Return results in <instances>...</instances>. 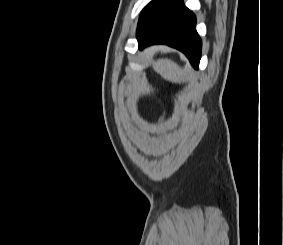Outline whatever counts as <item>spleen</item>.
<instances>
[{
	"instance_id": "3e777b00",
	"label": "spleen",
	"mask_w": 283,
	"mask_h": 245,
	"mask_svg": "<svg viewBox=\"0 0 283 245\" xmlns=\"http://www.w3.org/2000/svg\"><path fill=\"white\" fill-rule=\"evenodd\" d=\"M162 78L172 83H183L192 78V73L189 69H182L178 64L170 59H159L152 64Z\"/></svg>"
}]
</instances>
